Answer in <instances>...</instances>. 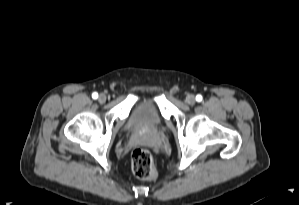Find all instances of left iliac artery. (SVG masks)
<instances>
[{
  "mask_svg": "<svg viewBox=\"0 0 299 205\" xmlns=\"http://www.w3.org/2000/svg\"><path fill=\"white\" fill-rule=\"evenodd\" d=\"M196 101L201 102L202 101V96L200 94H198L196 96Z\"/></svg>",
  "mask_w": 299,
  "mask_h": 205,
  "instance_id": "left-iliac-artery-1",
  "label": "left iliac artery"
}]
</instances>
